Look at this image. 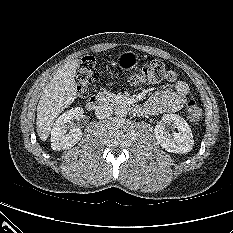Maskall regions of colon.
Returning a JSON list of instances; mask_svg holds the SVG:
<instances>
[{"label":"colon","instance_id":"5ec220e1","mask_svg":"<svg viewBox=\"0 0 233 233\" xmlns=\"http://www.w3.org/2000/svg\"><path fill=\"white\" fill-rule=\"evenodd\" d=\"M97 59L94 56L82 58L77 73V94L80 98H85L92 87L93 82L99 77ZM176 79V74L166 64L161 61H152L136 68L130 76L134 84H156L172 82ZM201 109L194 100L188 101L186 105V117L192 124L199 122Z\"/></svg>","mask_w":233,"mask_h":233}]
</instances>
